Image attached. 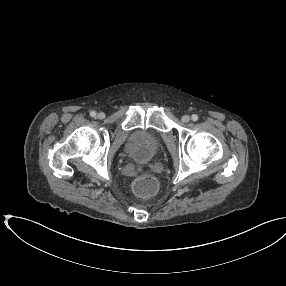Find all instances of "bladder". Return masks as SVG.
Listing matches in <instances>:
<instances>
[{"label": "bladder", "instance_id": "obj_1", "mask_svg": "<svg viewBox=\"0 0 286 286\" xmlns=\"http://www.w3.org/2000/svg\"><path fill=\"white\" fill-rule=\"evenodd\" d=\"M159 147V137L144 130L133 132L126 143V148L133 159L141 164L150 162Z\"/></svg>", "mask_w": 286, "mask_h": 286}]
</instances>
